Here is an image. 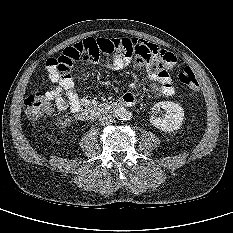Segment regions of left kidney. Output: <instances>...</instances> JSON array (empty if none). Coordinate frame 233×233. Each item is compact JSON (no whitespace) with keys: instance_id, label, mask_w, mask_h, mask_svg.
I'll use <instances>...</instances> for the list:
<instances>
[{"instance_id":"1","label":"left kidney","mask_w":233,"mask_h":233,"mask_svg":"<svg viewBox=\"0 0 233 233\" xmlns=\"http://www.w3.org/2000/svg\"><path fill=\"white\" fill-rule=\"evenodd\" d=\"M160 109H163L165 113L157 117L154 114L158 113ZM152 115L150 117V123L165 132L175 131L179 129L182 125L184 119L183 108L171 101H162L156 103L152 107Z\"/></svg>"}]
</instances>
